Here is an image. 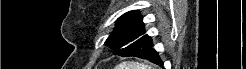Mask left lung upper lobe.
Wrapping results in <instances>:
<instances>
[{
	"mask_svg": "<svg viewBox=\"0 0 246 69\" xmlns=\"http://www.w3.org/2000/svg\"><path fill=\"white\" fill-rule=\"evenodd\" d=\"M142 16L139 12L130 11L117 20V26L110 34L105 44L110 45L114 51L124 48L140 38L145 33Z\"/></svg>",
	"mask_w": 246,
	"mask_h": 69,
	"instance_id": "1",
	"label": "left lung upper lobe"
}]
</instances>
